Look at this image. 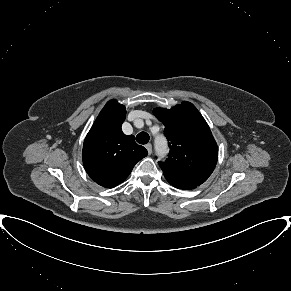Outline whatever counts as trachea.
I'll return each instance as SVG.
<instances>
[{"label":"trachea","mask_w":291,"mask_h":291,"mask_svg":"<svg viewBox=\"0 0 291 291\" xmlns=\"http://www.w3.org/2000/svg\"><path fill=\"white\" fill-rule=\"evenodd\" d=\"M136 141L139 144H147L149 141V135L146 132H140L137 136H136Z\"/></svg>","instance_id":"3493384b"}]
</instances>
